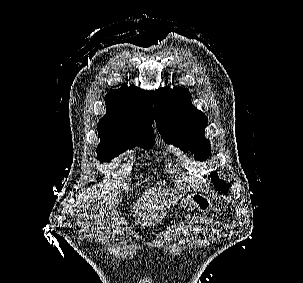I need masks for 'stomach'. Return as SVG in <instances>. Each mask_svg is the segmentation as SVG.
Masks as SVG:
<instances>
[{
	"label": "stomach",
	"instance_id": "stomach-1",
	"mask_svg": "<svg viewBox=\"0 0 303 283\" xmlns=\"http://www.w3.org/2000/svg\"><path fill=\"white\" fill-rule=\"evenodd\" d=\"M189 208L201 213L210 212L213 207L212 201L203 194L192 193L180 200L179 208Z\"/></svg>",
	"mask_w": 303,
	"mask_h": 283
}]
</instances>
